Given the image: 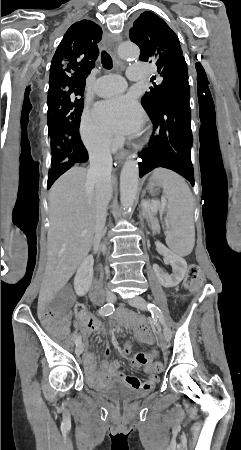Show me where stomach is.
I'll use <instances>...</instances> for the list:
<instances>
[{
    "mask_svg": "<svg viewBox=\"0 0 241 450\" xmlns=\"http://www.w3.org/2000/svg\"><path fill=\"white\" fill-rule=\"evenodd\" d=\"M158 186V182L157 181H152L149 184V191L150 193L154 194L156 192V187Z\"/></svg>",
    "mask_w": 241,
    "mask_h": 450,
    "instance_id": "obj_1",
    "label": "stomach"
}]
</instances>
